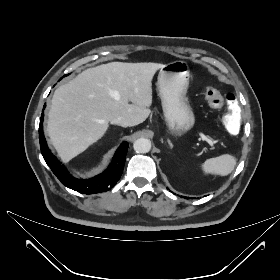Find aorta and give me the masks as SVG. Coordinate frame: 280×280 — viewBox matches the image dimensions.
Segmentation results:
<instances>
[{
    "mask_svg": "<svg viewBox=\"0 0 280 280\" xmlns=\"http://www.w3.org/2000/svg\"><path fill=\"white\" fill-rule=\"evenodd\" d=\"M136 153H148L151 149V141L147 138H139L133 143Z\"/></svg>",
    "mask_w": 280,
    "mask_h": 280,
    "instance_id": "obj_1",
    "label": "aorta"
}]
</instances>
